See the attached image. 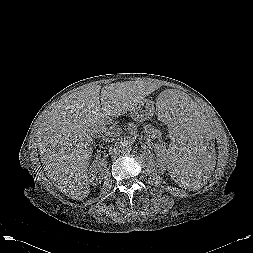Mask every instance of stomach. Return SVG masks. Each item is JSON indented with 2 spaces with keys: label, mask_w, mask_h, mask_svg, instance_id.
Listing matches in <instances>:
<instances>
[{
  "label": "stomach",
  "mask_w": 253,
  "mask_h": 253,
  "mask_svg": "<svg viewBox=\"0 0 253 253\" xmlns=\"http://www.w3.org/2000/svg\"><path fill=\"white\" fill-rule=\"evenodd\" d=\"M154 106L152 102L148 100H144L137 104L131 111L130 116L135 120L139 122H143L146 120H150L152 116L154 115Z\"/></svg>",
  "instance_id": "stomach-1"
}]
</instances>
